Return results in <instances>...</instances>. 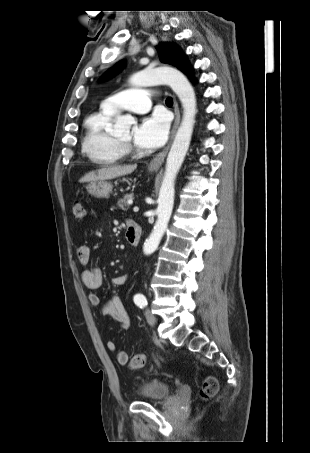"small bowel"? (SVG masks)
<instances>
[{
	"instance_id": "obj_1",
	"label": "small bowel",
	"mask_w": 310,
	"mask_h": 453,
	"mask_svg": "<svg viewBox=\"0 0 310 453\" xmlns=\"http://www.w3.org/2000/svg\"><path fill=\"white\" fill-rule=\"evenodd\" d=\"M77 257L82 265H88L91 260V249L88 245H80L77 249ZM129 279L128 274H121L111 278V284L114 288H118L125 284ZM81 280L83 284L91 291L88 295V300L91 305L98 308L102 316H109L117 321L123 329H128L130 326V316L123 304L122 299L117 292H113L111 298L107 302H102L97 294L103 283V274L98 268H88L82 271ZM107 349L115 353L118 364L125 366L128 364L129 356L125 351L117 350L114 341L109 340L106 343Z\"/></svg>"
}]
</instances>
